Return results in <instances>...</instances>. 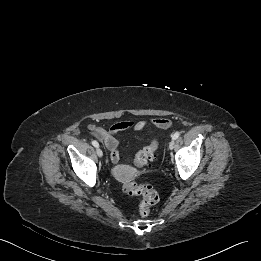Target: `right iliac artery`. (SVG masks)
Wrapping results in <instances>:
<instances>
[{"instance_id": "right-iliac-artery-1", "label": "right iliac artery", "mask_w": 261, "mask_h": 261, "mask_svg": "<svg viewBox=\"0 0 261 261\" xmlns=\"http://www.w3.org/2000/svg\"><path fill=\"white\" fill-rule=\"evenodd\" d=\"M92 145H93L94 147H97V148L99 147V144H98V142H97V141H95V140H93V141H92Z\"/></svg>"}]
</instances>
